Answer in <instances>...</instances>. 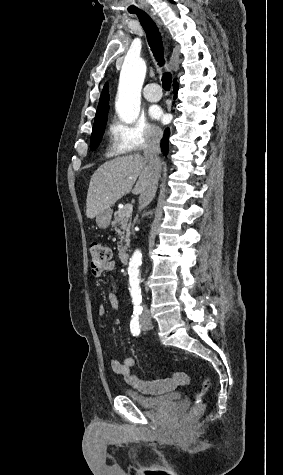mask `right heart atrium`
I'll return each instance as SVG.
<instances>
[{
    "instance_id": "1",
    "label": "right heart atrium",
    "mask_w": 283,
    "mask_h": 475,
    "mask_svg": "<svg viewBox=\"0 0 283 475\" xmlns=\"http://www.w3.org/2000/svg\"><path fill=\"white\" fill-rule=\"evenodd\" d=\"M161 140L162 132L142 117L129 123L114 118L109 126L106 153L116 159L118 155H143L157 149Z\"/></svg>"
}]
</instances>
